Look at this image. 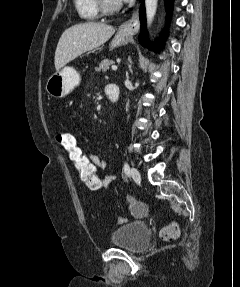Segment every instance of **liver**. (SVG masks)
Wrapping results in <instances>:
<instances>
[{
    "instance_id": "liver-1",
    "label": "liver",
    "mask_w": 240,
    "mask_h": 287,
    "mask_svg": "<svg viewBox=\"0 0 240 287\" xmlns=\"http://www.w3.org/2000/svg\"><path fill=\"white\" fill-rule=\"evenodd\" d=\"M115 32L111 25L100 22L76 24L61 35L55 51V69L59 71L82 53L105 43Z\"/></svg>"
}]
</instances>
